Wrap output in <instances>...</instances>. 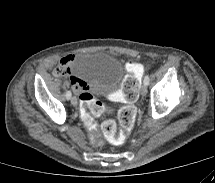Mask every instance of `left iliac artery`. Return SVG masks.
Masks as SVG:
<instances>
[{
    "label": "left iliac artery",
    "instance_id": "obj_1",
    "mask_svg": "<svg viewBox=\"0 0 215 183\" xmlns=\"http://www.w3.org/2000/svg\"><path fill=\"white\" fill-rule=\"evenodd\" d=\"M149 81H150L149 76L146 75L145 78H144V84H145V85H148V84H149Z\"/></svg>",
    "mask_w": 215,
    "mask_h": 183
}]
</instances>
